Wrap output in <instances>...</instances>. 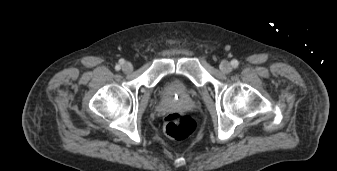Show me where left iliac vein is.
<instances>
[{
    "instance_id": "1",
    "label": "left iliac vein",
    "mask_w": 337,
    "mask_h": 171,
    "mask_svg": "<svg viewBox=\"0 0 337 171\" xmlns=\"http://www.w3.org/2000/svg\"><path fill=\"white\" fill-rule=\"evenodd\" d=\"M220 70L223 73H229L232 70V66L228 61H222L220 64Z\"/></svg>"
}]
</instances>
